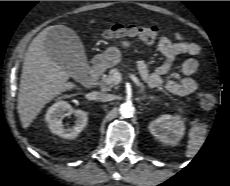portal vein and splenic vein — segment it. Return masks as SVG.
<instances>
[{
    "label": "portal vein and splenic vein",
    "mask_w": 230,
    "mask_h": 186,
    "mask_svg": "<svg viewBox=\"0 0 230 186\" xmlns=\"http://www.w3.org/2000/svg\"><path fill=\"white\" fill-rule=\"evenodd\" d=\"M129 77L134 81V83H135L137 86H139V87L142 86V84L140 83V81L138 80V78H137L135 75L130 74ZM121 79H122L121 74H120L119 72H116V73L114 74V76H113V81L119 83V82L121 81Z\"/></svg>",
    "instance_id": "1"
}]
</instances>
